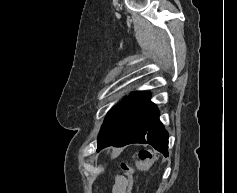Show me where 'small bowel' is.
Listing matches in <instances>:
<instances>
[{
  "label": "small bowel",
  "mask_w": 237,
  "mask_h": 193,
  "mask_svg": "<svg viewBox=\"0 0 237 193\" xmlns=\"http://www.w3.org/2000/svg\"><path fill=\"white\" fill-rule=\"evenodd\" d=\"M129 182L125 176L117 174L113 178L111 193H127Z\"/></svg>",
  "instance_id": "c3829d8e"
}]
</instances>
